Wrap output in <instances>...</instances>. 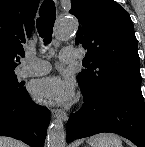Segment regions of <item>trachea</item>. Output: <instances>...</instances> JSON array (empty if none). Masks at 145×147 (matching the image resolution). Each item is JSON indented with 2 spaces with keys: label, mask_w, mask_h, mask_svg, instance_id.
I'll return each instance as SVG.
<instances>
[{
  "label": "trachea",
  "mask_w": 145,
  "mask_h": 147,
  "mask_svg": "<svg viewBox=\"0 0 145 147\" xmlns=\"http://www.w3.org/2000/svg\"><path fill=\"white\" fill-rule=\"evenodd\" d=\"M40 17L36 21L37 30L45 45L52 40L53 26L56 19L55 3L45 0L39 10Z\"/></svg>",
  "instance_id": "trachea-1"
}]
</instances>
